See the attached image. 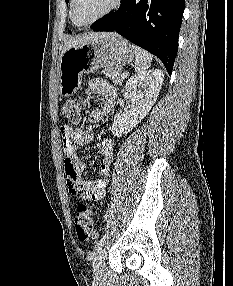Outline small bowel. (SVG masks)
Returning <instances> with one entry per match:
<instances>
[{
    "label": "small bowel",
    "mask_w": 233,
    "mask_h": 286,
    "mask_svg": "<svg viewBox=\"0 0 233 286\" xmlns=\"http://www.w3.org/2000/svg\"><path fill=\"white\" fill-rule=\"evenodd\" d=\"M87 93L100 96L103 99L101 107L91 110L89 115L91 122H99L104 117L114 113L116 90L111 84L99 78L92 79L88 84ZM60 131L65 154L64 169L70 193L81 199H101L108 182L110 166L114 156L112 140L105 138L101 144L98 177L95 180H86L81 175L86 168V164L78 156L77 146L90 143L94 138L93 132L90 129L69 125H63Z\"/></svg>",
    "instance_id": "obj_1"
}]
</instances>
